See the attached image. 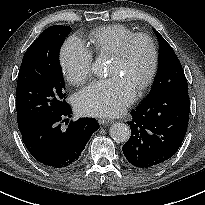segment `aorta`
<instances>
[{"instance_id": "1", "label": "aorta", "mask_w": 205, "mask_h": 205, "mask_svg": "<svg viewBox=\"0 0 205 205\" xmlns=\"http://www.w3.org/2000/svg\"><path fill=\"white\" fill-rule=\"evenodd\" d=\"M92 70L94 74L102 76L105 74V65L101 60H97ZM109 134L116 142H126L130 138L131 131L128 125L119 122L111 125Z\"/></svg>"}]
</instances>
